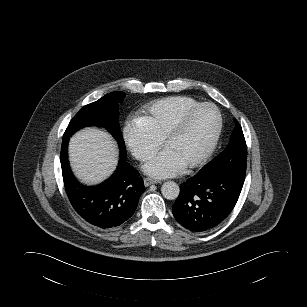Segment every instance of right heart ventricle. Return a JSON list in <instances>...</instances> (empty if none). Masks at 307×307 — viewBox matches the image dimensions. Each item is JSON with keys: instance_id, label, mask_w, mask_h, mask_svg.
I'll return each instance as SVG.
<instances>
[{"instance_id": "e07e8e85", "label": "right heart ventricle", "mask_w": 307, "mask_h": 307, "mask_svg": "<svg viewBox=\"0 0 307 307\" xmlns=\"http://www.w3.org/2000/svg\"><path fill=\"white\" fill-rule=\"evenodd\" d=\"M199 103L190 96H170L154 101L142 116L153 133L162 139L169 128L189 107Z\"/></svg>"}]
</instances>
